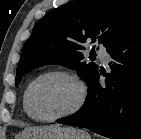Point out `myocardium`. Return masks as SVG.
<instances>
[{"label":"myocardium","mask_w":141,"mask_h":139,"mask_svg":"<svg viewBox=\"0 0 141 139\" xmlns=\"http://www.w3.org/2000/svg\"><path fill=\"white\" fill-rule=\"evenodd\" d=\"M50 76H62V77H66V78L72 80L78 88V98H77L76 102L74 103V105L71 106L68 110H66L60 114L51 116V117H43V116L38 115L33 108L32 92H33L35 85L39 81H41L42 79H44L46 77H50ZM87 94H88V91H87V86H86L85 82L76 73L71 72V71H67V70H62V69L49 70V71L44 72V73L40 74L39 76H37L29 84V86L26 90V107H27L29 114L31 115V117L33 119H35L37 121H41V122H53V121L71 116V115L75 114L76 112H78L85 104L86 99H87Z\"/></svg>","instance_id":"f54148a6"}]
</instances>
